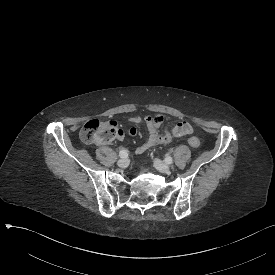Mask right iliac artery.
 Listing matches in <instances>:
<instances>
[{
    "instance_id": "82829eb1",
    "label": "right iliac artery",
    "mask_w": 275,
    "mask_h": 275,
    "mask_svg": "<svg viewBox=\"0 0 275 275\" xmlns=\"http://www.w3.org/2000/svg\"><path fill=\"white\" fill-rule=\"evenodd\" d=\"M119 156H120L121 158L127 157V156H128V151H127L126 149L120 150Z\"/></svg>"
}]
</instances>
